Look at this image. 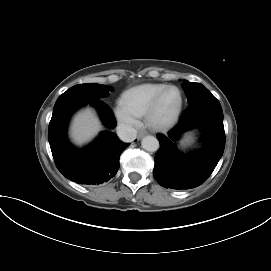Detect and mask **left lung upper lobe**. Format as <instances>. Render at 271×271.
Instances as JSON below:
<instances>
[{
  "label": "left lung upper lobe",
  "mask_w": 271,
  "mask_h": 271,
  "mask_svg": "<svg viewBox=\"0 0 271 271\" xmlns=\"http://www.w3.org/2000/svg\"><path fill=\"white\" fill-rule=\"evenodd\" d=\"M182 88L190 105L199 100L214 97L211 92L200 83H193L184 80Z\"/></svg>",
  "instance_id": "obj_1"
}]
</instances>
